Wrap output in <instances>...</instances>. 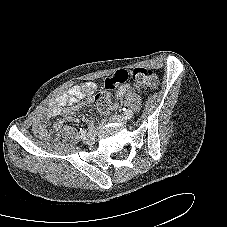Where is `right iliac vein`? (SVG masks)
I'll list each match as a JSON object with an SVG mask.
<instances>
[{"label": "right iliac vein", "instance_id": "1", "mask_svg": "<svg viewBox=\"0 0 227 227\" xmlns=\"http://www.w3.org/2000/svg\"><path fill=\"white\" fill-rule=\"evenodd\" d=\"M84 142L87 144H92L94 142V137L92 134H87L85 135V137L83 138Z\"/></svg>", "mask_w": 227, "mask_h": 227}]
</instances>
